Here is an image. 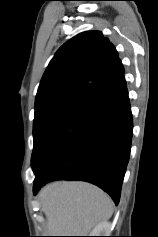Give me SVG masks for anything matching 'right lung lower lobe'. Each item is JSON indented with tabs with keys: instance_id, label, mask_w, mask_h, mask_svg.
<instances>
[{
	"instance_id": "right-lung-lower-lobe-1",
	"label": "right lung lower lobe",
	"mask_w": 158,
	"mask_h": 237,
	"mask_svg": "<svg viewBox=\"0 0 158 237\" xmlns=\"http://www.w3.org/2000/svg\"><path fill=\"white\" fill-rule=\"evenodd\" d=\"M132 114L124 76L70 113L40 143L32 168L34 194L53 180H82L117 205L130 156Z\"/></svg>"
}]
</instances>
